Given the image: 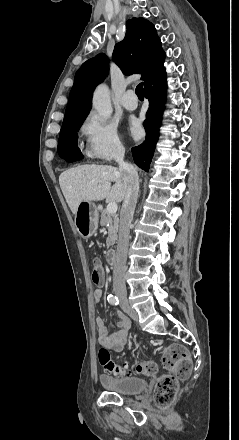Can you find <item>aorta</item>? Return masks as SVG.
<instances>
[{"instance_id": "762f6f07", "label": "aorta", "mask_w": 239, "mask_h": 440, "mask_svg": "<svg viewBox=\"0 0 239 440\" xmlns=\"http://www.w3.org/2000/svg\"><path fill=\"white\" fill-rule=\"evenodd\" d=\"M92 104L99 116H103V118H109V116H111L113 108L111 106L110 90L105 84H101V86L96 88L93 94Z\"/></svg>"}]
</instances>
